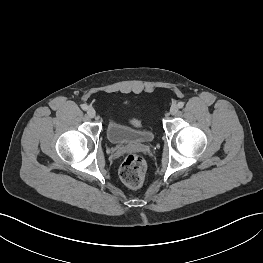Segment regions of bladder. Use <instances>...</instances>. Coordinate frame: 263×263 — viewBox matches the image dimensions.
Here are the masks:
<instances>
[{"label": "bladder", "mask_w": 263, "mask_h": 263, "mask_svg": "<svg viewBox=\"0 0 263 263\" xmlns=\"http://www.w3.org/2000/svg\"><path fill=\"white\" fill-rule=\"evenodd\" d=\"M108 140L114 145L148 144L154 139L152 127H134L112 116L106 127Z\"/></svg>", "instance_id": "obj_1"}]
</instances>
